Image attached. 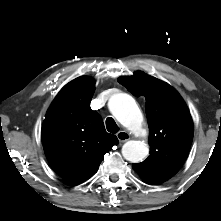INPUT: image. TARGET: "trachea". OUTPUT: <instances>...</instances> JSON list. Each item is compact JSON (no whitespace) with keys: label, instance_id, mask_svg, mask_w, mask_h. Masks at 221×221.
<instances>
[{"label":"trachea","instance_id":"1","mask_svg":"<svg viewBox=\"0 0 221 221\" xmlns=\"http://www.w3.org/2000/svg\"><path fill=\"white\" fill-rule=\"evenodd\" d=\"M106 128L110 133H117L119 131V127L111 117L106 119Z\"/></svg>","mask_w":221,"mask_h":221}]
</instances>
